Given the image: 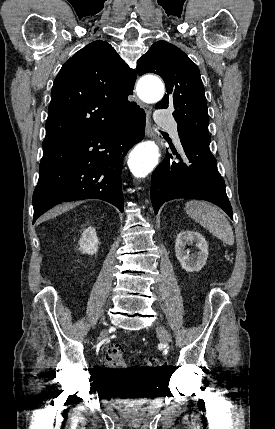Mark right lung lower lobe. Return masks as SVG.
Wrapping results in <instances>:
<instances>
[{
    "label": "right lung lower lobe",
    "instance_id": "1",
    "mask_svg": "<svg viewBox=\"0 0 275 429\" xmlns=\"http://www.w3.org/2000/svg\"><path fill=\"white\" fill-rule=\"evenodd\" d=\"M145 112L136 106L121 121L45 148L33 193V223L57 204L97 198L123 211V158L145 133Z\"/></svg>",
    "mask_w": 275,
    "mask_h": 429
}]
</instances>
